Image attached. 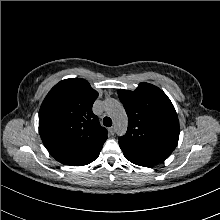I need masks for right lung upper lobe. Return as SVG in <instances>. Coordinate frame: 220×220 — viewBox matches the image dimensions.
Wrapping results in <instances>:
<instances>
[{
  "label": "right lung upper lobe",
  "instance_id": "obj_1",
  "mask_svg": "<svg viewBox=\"0 0 220 220\" xmlns=\"http://www.w3.org/2000/svg\"><path fill=\"white\" fill-rule=\"evenodd\" d=\"M98 92L84 79L57 83L39 111V133L49 153L60 163L83 166L99 156L107 131L92 106Z\"/></svg>",
  "mask_w": 220,
  "mask_h": 220
}]
</instances>
